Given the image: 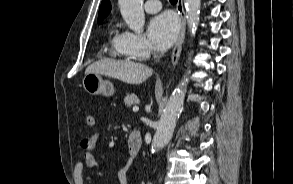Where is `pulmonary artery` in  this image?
Wrapping results in <instances>:
<instances>
[{
  "label": "pulmonary artery",
  "instance_id": "e3ab8cb5",
  "mask_svg": "<svg viewBox=\"0 0 293 184\" xmlns=\"http://www.w3.org/2000/svg\"><path fill=\"white\" fill-rule=\"evenodd\" d=\"M162 5L159 0H147L144 4V9L148 13H156L160 11Z\"/></svg>",
  "mask_w": 293,
  "mask_h": 184
}]
</instances>
